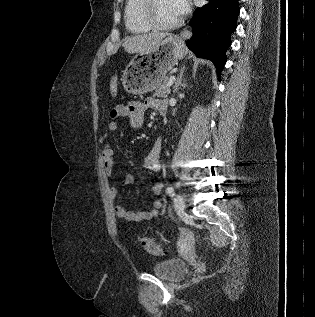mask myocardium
I'll list each match as a JSON object with an SVG mask.
<instances>
[{
	"label": "myocardium",
	"instance_id": "obj_1",
	"mask_svg": "<svg viewBox=\"0 0 315 317\" xmlns=\"http://www.w3.org/2000/svg\"><path fill=\"white\" fill-rule=\"evenodd\" d=\"M157 0H144L142 5V18L153 29L157 30H171L181 25L182 18L169 24L160 23L155 16V5Z\"/></svg>",
	"mask_w": 315,
	"mask_h": 317
}]
</instances>
